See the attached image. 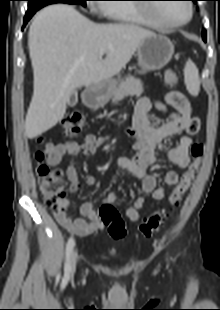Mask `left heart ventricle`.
<instances>
[{
    "mask_svg": "<svg viewBox=\"0 0 220 310\" xmlns=\"http://www.w3.org/2000/svg\"><path fill=\"white\" fill-rule=\"evenodd\" d=\"M155 13L167 21L178 22L188 16V9L184 3H170L159 5L155 9Z\"/></svg>",
    "mask_w": 220,
    "mask_h": 310,
    "instance_id": "b2bd125f",
    "label": "left heart ventricle"
}]
</instances>
